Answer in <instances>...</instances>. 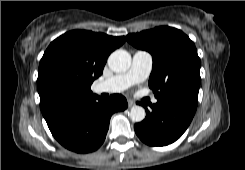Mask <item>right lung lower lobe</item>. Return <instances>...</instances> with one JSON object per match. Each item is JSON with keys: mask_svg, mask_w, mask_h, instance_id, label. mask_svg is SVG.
I'll return each instance as SVG.
<instances>
[{"mask_svg": "<svg viewBox=\"0 0 245 170\" xmlns=\"http://www.w3.org/2000/svg\"><path fill=\"white\" fill-rule=\"evenodd\" d=\"M126 108L127 101L122 95H112L108 100L92 95L67 106L47 124L54 138L65 148L88 153L104 142L111 115Z\"/></svg>", "mask_w": 245, "mask_h": 170, "instance_id": "1", "label": "right lung lower lobe"}]
</instances>
